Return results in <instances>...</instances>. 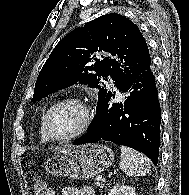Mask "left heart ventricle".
Here are the masks:
<instances>
[{"instance_id":"1","label":"left heart ventricle","mask_w":189,"mask_h":195,"mask_svg":"<svg viewBox=\"0 0 189 195\" xmlns=\"http://www.w3.org/2000/svg\"><path fill=\"white\" fill-rule=\"evenodd\" d=\"M85 119L84 110L76 104H64L51 115L50 128L57 137L73 134L82 126Z\"/></svg>"}]
</instances>
